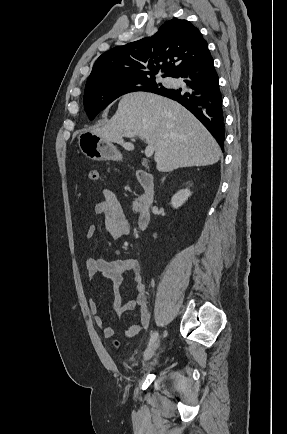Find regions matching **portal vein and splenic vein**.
<instances>
[{"label":"portal vein and splenic vein","mask_w":287,"mask_h":434,"mask_svg":"<svg viewBox=\"0 0 287 434\" xmlns=\"http://www.w3.org/2000/svg\"><path fill=\"white\" fill-rule=\"evenodd\" d=\"M124 135L127 136V137H135V134L132 133V132H126ZM154 151H155L154 146L153 145H148L145 148V156L147 158L151 157L153 155Z\"/></svg>","instance_id":"18ae733b"}]
</instances>
